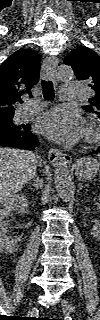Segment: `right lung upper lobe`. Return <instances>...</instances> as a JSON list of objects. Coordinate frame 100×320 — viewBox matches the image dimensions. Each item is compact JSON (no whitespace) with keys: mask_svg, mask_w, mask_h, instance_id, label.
<instances>
[{"mask_svg":"<svg viewBox=\"0 0 100 320\" xmlns=\"http://www.w3.org/2000/svg\"><path fill=\"white\" fill-rule=\"evenodd\" d=\"M40 57L31 49H19L0 65V119L14 116V105L38 82Z\"/></svg>","mask_w":100,"mask_h":320,"instance_id":"right-lung-upper-lobe-1","label":"right lung upper lobe"}]
</instances>
